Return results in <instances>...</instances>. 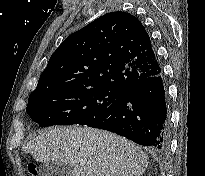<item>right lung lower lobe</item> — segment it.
I'll use <instances>...</instances> for the list:
<instances>
[{"label": "right lung lower lobe", "instance_id": "right-lung-lower-lobe-1", "mask_svg": "<svg viewBox=\"0 0 205 176\" xmlns=\"http://www.w3.org/2000/svg\"><path fill=\"white\" fill-rule=\"evenodd\" d=\"M87 126L114 132L160 153L166 152L170 123L162 71L125 88Z\"/></svg>", "mask_w": 205, "mask_h": 176}]
</instances>
